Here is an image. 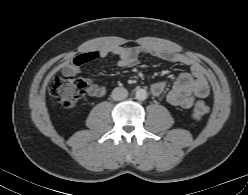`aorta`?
I'll list each match as a JSON object with an SVG mask.
<instances>
[{"instance_id": "aorta-1", "label": "aorta", "mask_w": 248, "mask_h": 195, "mask_svg": "<svg viewBox=\"0 0 248 195\" xmlns=\"http://www.w3.org/2000/svg\"><path fill=\"white\" fill-rule=\"evenodd\" d=\"M147 91L145 89H138L136 91V99L143 101L147 98Z\"/></svg>"}]
</instances>
